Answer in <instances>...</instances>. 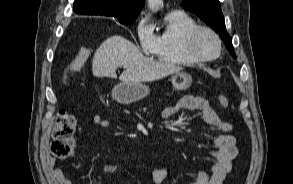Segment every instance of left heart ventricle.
<instances>
[{"label":"left heart ventricle","instance_id":"left-heart-ventricle-1","mask_svg":"<svg viewBox=\"0 0 293 184\" xmlns=\"http://www.w3.org/2000/svg\"><path fill=\"white\" fill-rule=\"evenodd\" d=\"M195 48L201 55L212 56L218 51V45L215 38L207 32H202L198 35Z\"/></svg>","mask_w":293,"mask_h":184}]
</instances>
